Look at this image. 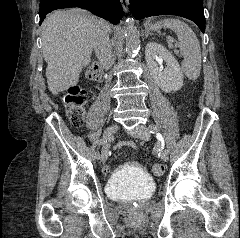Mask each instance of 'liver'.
<instances>
[{"instance_id": "6515ba94", "label": "liver", "mask_w": 240, "mask_h": 238, "mask_svg": "<svg viewBox=\"0 0 240 238\" xmlns=\"http://www.w3.org/2000/svg\"><path fill=\"white\" fill-rule=\"evenodd\" d=\"M99 24L109 28L107 22L75 8L55 11L44 21L42 50L53 95L78 83L80 73L91 62L92 36Z\"/></svg>"}]
</instances>
